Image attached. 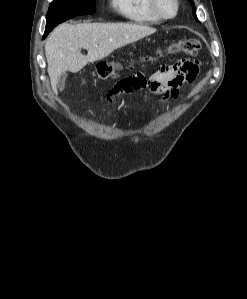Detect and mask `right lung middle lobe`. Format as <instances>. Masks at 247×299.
Instances as JSON below:
<instances>
[{
	"label": "right lung middle lobe",
	"mask_w": 247,
	"mask_h": 299,
	"mask_svg": "<svg viewBox=\"0 0 247 299\" xmlns=\"http://www.w3.org/2000/svg\"><path fill=\"white\" fill-rule=\"evenodd\" d=\"M96 0H53L46 17L44 37L58 24L78 15L93 14Z\"/></svg>",
	"instance_id": "1"
}]
</instances>
